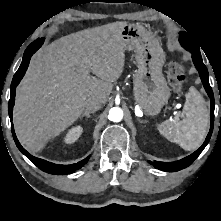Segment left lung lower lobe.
<instances>
[{"instance_id":"obj_1","label":"left lung lower lobe","mask_w":221,"mask_h":221,"mask_svg":"<svg viewBox=\"0 0 221 221\" xmlns=\"http://www.w3.org/2000/svg\"><path fill=\"white\" fill-rule=\"evenodd\" d=\"M192 59H193V62L195 64L196 68L198 69V72H199L200 78L202 80V83L204 85V88H205L206 92L208 93V96L211 99V128H210L209 134H208L204 144L197 151H195L193 154H191V155H189L179 161L170 162V163L159 162V161H154V163H152L149 161V163H151L155 168L163 170V171H167V172L179 171L181 169L188 167L190 164H192L193 161L200 155V153L203 151V149L208 144L211 134H212V130H213L215 102H214L212 88L209 84V74H208L206 66L204 65V63L202 61L201 56H198L196 54H192Z\"/></svg>"}]
</instances>
